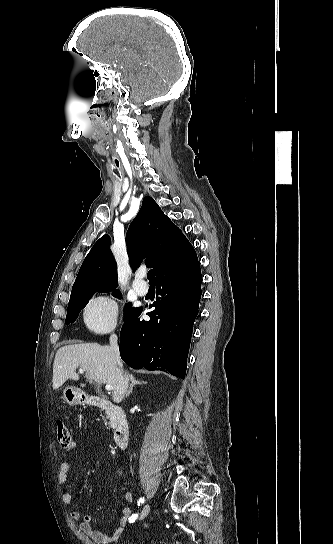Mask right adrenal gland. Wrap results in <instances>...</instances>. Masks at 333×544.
<instances>
[{"mask_svg": "<svg viewBox=\"0 0 333 544\" xmlns=\"http://www.w3.org/2000/svg\"><path fill=\"white\" fill-rule=\"evenodd\" d=\"M129 379L131 381V385L129 387V390L126 392V397L129 396L132 393L133 388H134L135 385L146 384L145 382H141V381L137 380L133 375H129Z\"/></svg>", "mask_w": 333, "mask_h": 544, "instance_id": "1", "label": "right adrenal gland"}]
</instances>
